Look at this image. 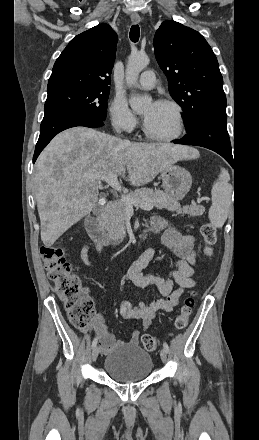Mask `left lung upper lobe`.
<instances>
[{
  "label": "left lung upper lobe",
  "mask_w": 259,
  "mask_h": 440,
  "mask_svg": "<svg viewBox=\"0 0 259 440\" xmlns=\"http://www.w3.org/2000/svg\"><path fill=\"white\" fill-rule=\"evenodd\" d=\"M154 52L182 107L187 129L208 115H226V96L217 58L204 37L175 21H164L154 36Z\"/></svg>",
  "instance_id": "left-lung-upper-lobe-1"
}]
</instances>
